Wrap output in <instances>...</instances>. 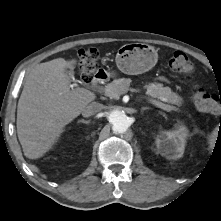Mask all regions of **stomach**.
<instances>
[{"instance_id":"0dacf381","label":"stomach","mask_w":221,"mask_h":221,"mask_svg":"<svg viewBox=\"0 0 221 221\" xmlns=\"http://www.w3.org/2000/svg\"><path fill=\"white\" fill-rule=\"evenodd\" d=\"M157 59L158 54L153 47L141 43H130L119 48L115 61L121 72L138 75L152 69Z\"/></svg>"}]
</instances>
